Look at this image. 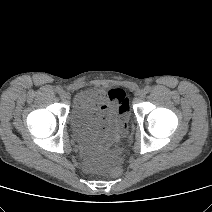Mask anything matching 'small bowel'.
<instances>
[{
  "instance_id": "obj_1",
  "label": "small bowel",
  "mask_w": 212,
  "mask_h": 212,
  "mask_svg": "<svg viewBox=\"0 0 212 212\" xmlns=\"http://www.w3.org/2000/svg\"><path fill=\"white\" fill-rule=\"evenodd\" d=\"M124 96L123 90L113 89L108 93L109 101H102L91 109L88 120L99 137L118 140L126 132V126L115 109Z\"/></svg>"
}]
</instances>
